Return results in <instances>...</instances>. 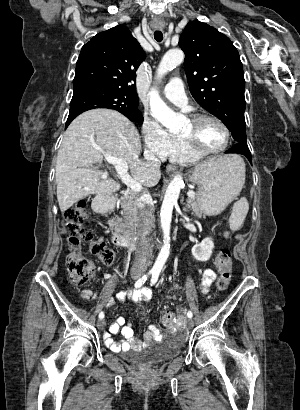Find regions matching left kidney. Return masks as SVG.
I'll list each match as a JSON object with an SVG mask.
<instances>
[{
  "instance_id": "1",
  "label": "left kidney",
  "mask_w": 300,
  "mask_h": 410,
  "mask_svg": "<svg viewBox=\"0 0 300 410\" xmlns=\"http://www.w3.org/2000/svg\"><path fill=\"white\" fill-rule=\"evenodd\" d=\"M214 243L211 238H205L201 243L192 247V255L198 261H208L212 255Z\"/></svg>"
}]
</instances>
